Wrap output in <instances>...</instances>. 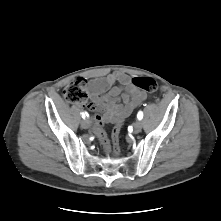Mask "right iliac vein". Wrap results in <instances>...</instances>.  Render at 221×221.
Instances as JSON below:
<instances>
[{"mask_svg":"<svg viewBox=\"0 0 221 221\" xmlns=\"http://www.w3.org/2000/svg\"><path fill=\"white\" fill-rule=\"evenodd\" d=\"M81 126L84 128V129H88L90 126H91V121L89 119H84L82 120L81 122Z\"/></svg>","mask_w":221,"mask_h":221,"instance_id":"63e3f726","label":"right iliac vein"}]
</instances>
